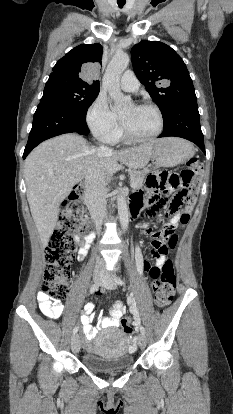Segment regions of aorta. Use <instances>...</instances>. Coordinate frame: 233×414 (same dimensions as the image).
<instances>
[{"instance_id":"1","label":"aorta","mask_w":233,"mask_h":414,"mask_svg":"<svg viewBox=\"0 0 233 414\" xmlns=\"http://www.w3.org/2000/svg\"><path fill=\"white\" fill-rule=\"evenodd\" d=\"M130 58L125 53H116L109 62L103 77V87L114 100V109H120L131 103L130 96H125L120 89V77L129 65ZM117 207L120 224L123 230H127L129 224L128 206L124 196H117Z\"/></svg>"}]
</instances>
